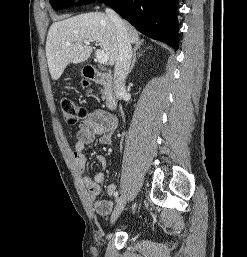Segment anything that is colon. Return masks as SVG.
Here are the masks:
<instances>
[{
    "label": "colon",
    "instance_id": "obj_1",
    "mask_svg": "<svg viewBox=\"0 0 247 257\" xmlns=\"http://www.w3.org/2000/svg\"><path fill=\"white\" fill-rule=\"evenodd\" d=\"M85 86H87V84H85ZM60 106L64 121L70 126L80 125L88 115L84 106L69 98L61 99Z\"/></svg>",
    "mask_w": 247,
    "mask_h": 257
}]
</instances>
